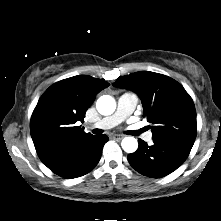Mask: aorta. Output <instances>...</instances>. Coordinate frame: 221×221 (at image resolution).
<instances>
[{"label":"aorta","instance_id":"1","mask_svg":"<svg viewBox=\"0 0 221 221\" xmlns=\"http://www.w3.org/2000/svg\"><path fill=\"white\" fill-rule=\"evenodd\" d=\"M96 108L101 115H111L116 109L115 99L110 95H103L97 100ZM121 146L125 152L133 153L138 148V142L134 137H125Z\"/></svg>","mask_w":221,"mask_h":221}]
</instances>
